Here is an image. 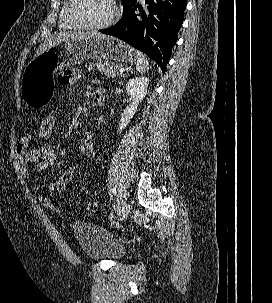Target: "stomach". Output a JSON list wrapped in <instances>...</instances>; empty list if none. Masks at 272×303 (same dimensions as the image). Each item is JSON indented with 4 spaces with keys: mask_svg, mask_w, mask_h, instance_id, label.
I'll return each instance as SVG.
<instances>
[{
    "mask_svg": "<svg viewBox=\"0 0 272 303\" xmlns=\"http://www.w3.org/2000/svg\"><path fill=\"white\" fill-rule=\"evenodd\" d=\"M86 59L133 62L136 51L122 41L110 37L67 40L45 50L25 67L20 92L27 106L40 107L52 96L54 74Z\"/></svg>",
    "mask_w": 272,
    "mask_h": 303,
    "instance_id": "0dacf381",
    "label": "stomach"
}]
</instances>
